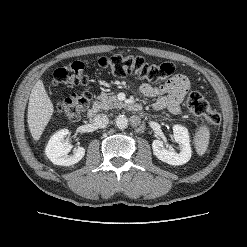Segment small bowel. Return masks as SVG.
Instances as JSON below:
<instances>
[{
    "instance_id": "small-bowel-1",
    "label": "small bowel",
    "mask_w": 247,
    "mask_h": 247,
    "mask_svg": "<svg viewBox=\"0 0 247 247\" xmlns=\"http://www.w3.org/2000/svg\"><path fill=\"white\" fill-rule=\"evenodd\" d=\"M189 89V79L182 74L174 75L158 87L149 83H143L140 86V91L144 96L156 97L153 105L156 111L167 109L173 114L181 112V103Z\"/></svg>"
}]
</instances>
